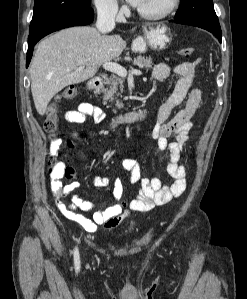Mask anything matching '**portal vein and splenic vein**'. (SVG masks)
I'll return each instance as SVG.
<instances>
[{
  "label": "portal vein and splenic vein",
  "instance_id": "obj_1",
  "mask_svg": "<svg viewBox=\"0 0 247 299\" xmlns=\"http://www.w3.org/2000/svg\"><path fill=\"white\" fill-rule=\"evenodd\" d=\"M103 68L107 71L113 72L117 75H119L120 77H126L127 76V71L124 67H122L121 65L117 64V63H113V62H106L103 64ZM82 69V68H80ZM131 74L134 75H141L142 72L140 70H132Z\"/></svg>",
  "mask_w": 247,
  "mask_h": 299
}]
</instances>
